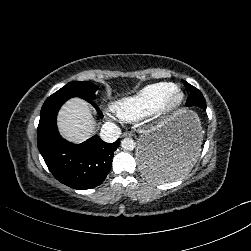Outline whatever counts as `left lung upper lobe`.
Segmentation results:
<instances>
[{
  "instance_id": "1",
  "label": "left lung upper lobe",
  "mask_w": 251,
  "mask_h": 251,
  "mask_svg": "<svg viewBox=\"0 0 251 251\" xmlns=\"http://www.w3.org/2000/svg\"><path fill=\"white\" fill-rule=\"evenodd\" d=\"M185 87L187 90H189L190 95L188 96L187 102L186 103H192V104H198L202 106L205 110L206 108V102L205 99L202 95V93L186 81H183Z\"/></svg>"
}]
</instances>
